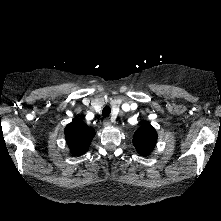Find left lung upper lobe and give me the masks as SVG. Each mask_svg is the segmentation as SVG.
Instances as JSON below:
<instances>
[{"label": "left lung upper lobe", "mask_w": 221, "mask_h": 221, "mask_svg": "<svg viewBox=\"0 0 221 221\" xmlns=\"http://www.w3.org/2000/svg\"><path fill=\"white\" fill-rule=\"evenodd\" d=\"M157 142V133L155 129L147 124L136 130L133 137V144L139 154L149 155Z\"/></svg>", "instance_id": "5c2ea615"}]
</instances>
